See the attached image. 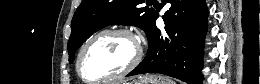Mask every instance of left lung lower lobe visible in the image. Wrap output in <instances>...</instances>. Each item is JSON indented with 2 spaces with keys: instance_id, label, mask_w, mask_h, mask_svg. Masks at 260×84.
Wrapping results in <instances>:
<instances>
[{
  "instance_id": "0a47b994",
  "label": "left lung lower lobe",
  "mask_w": 260,
  "mask_h": 84,
  "mask_svg": "<svg viewBox=\"0 0 260 84\" xmlns=\"http://www.w3.org/2000/svg\"><path fill=\"white\" fill-rule=\"evenodd\" d=\"M170 9L162 17L165 31L156 27V12L147 34L148 52L128 76L161 73L189 84H200L202 56L207 30L205 0H164Z\"/></svg>"
}]
</instances>
